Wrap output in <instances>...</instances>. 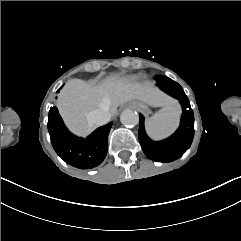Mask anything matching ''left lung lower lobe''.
<instances>
[{
	"instance_id": "left-lung-lower-lobe-1",
	"label": "left lung lower lobe",
	"mask_w": 241,
	"mask_h": 241,
	"mask_svg": "<svg viewBox=\"0 0 241 241\" xmlns=\"http://www.w3.org/2000/svg\"><path fill=\"white\" fill-rule=\"evenodd\" d=\"M157 85L167 94L179 100L183 115L180 127L170 138L155 142L145 133L144 117L140 115L139 141L145 155L157 162H171L183 155L190 147L194 136V117L189 99L182 87L172 79L166 76H155Z\"/></svg>"
}]
</instances>
